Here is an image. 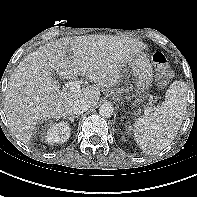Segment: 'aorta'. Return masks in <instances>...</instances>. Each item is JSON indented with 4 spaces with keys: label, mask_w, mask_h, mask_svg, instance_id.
Segmentation results:
<instances>
[{
    "label": "aorta",
    "mask_w": 197,
    "mask_h": 197,
    "mask_svg": "<svg viewBox=\"0 0 197 197\" xmlns=\"http://www.w3.org/2000/svg\"><path fill=\"white\" fill-rule=\"evenodd\" d=\"M114 108L109 103H104L99 107V114L104 118H109L113 115Z\"/></svg>",
    "instance_id": "1"
}]
</instances>
